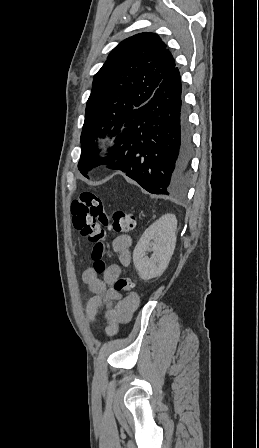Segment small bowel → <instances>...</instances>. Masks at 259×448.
Returning a JSON list of instances; mask_svg holds the SVG:
<instances>
[{
	"mask_svg": "<svg viewBox=\"0 0 259 448\" xmlns=\"http://www.w3.org/2000/svg\"><path fill=\"white\" fill-rule=\"evenodd\" d=\"M132 239L128 235H119L111 243V249L117 254V263L111 265L99 278L92 267L83 273V280L87 284L92 295L87 299L86 314L89 320H93L101 308H105L107 326L105 333L112 337L117 334L119 325L131 320L138 307L139 298L133 293L123 297L114 288L116 280L121 275L122 268L129 266L131 262L130 247Z\"/></svg>",
	"mask_w": 259,
	"mask_h": 448,
	"instance_id": "small-bowel-1",
	"label": "small bowel"
}]
</instances>
